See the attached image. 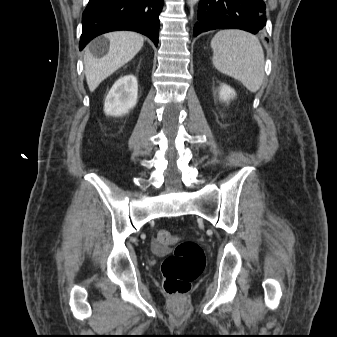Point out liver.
<instances>
[{
  "instance_id": "liver-1",
  "label": "liver",
  "mask_w": 337,
  "mask_h": 337,
  "mask_svg": "<svg viewBox=\"0 0 337 337\" xmlns=\"http://www.w3.org/2000/svg\"><path fill=\"white\" fill-rule=\"evenodd\" d=\"M104 36L110 42L105 56L96 58L88 49L84 55L85 76L91 92L104 79L132 60L144 44L143 36L131 31L110 32Z\"/></svg>"
}]
</instances>
